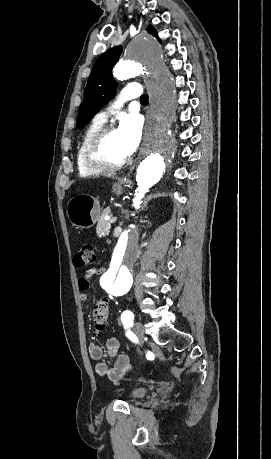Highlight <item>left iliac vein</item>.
I'll list each match as a JSON object with an SVG mask.
<instances>
[{
	"label": "left iliac vein",
	"mask_w": 271,
	"mask_h": 459,
	"mask_svg": "<svg viewBox=\"0 0 271 459\" xmlns=\"http://www.w3.org/2000/svg\"><path fill=\"white\" fill-rule=\"evenodd\" d=\"M134 333L136 334L139 342H143L145 338L144 328L140 322H135L133 327Z\"/></svg>",
	"instance_id": "left-iliac-vein-1"
}]
</instances>
